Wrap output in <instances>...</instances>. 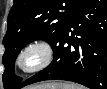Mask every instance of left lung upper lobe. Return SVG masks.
Segmentation results:
<instances>
[{
	"label": "left lung upper lobe",
	"mask_w": 107,
	"mask_h": 89,
	"mask_svg": "<svg viewBox=\"0 0 107 89\" xmlns=\"http://www.w3.org/2000/svg\"><path fill=\"white\" fill-rule=\"evenodd\" d=\"M82 1L14 0L7 19V32L3 39L5 71L2 79L5 89H16L22 81L14 75L15 59L20 50L37 39L45 40L51 45Z\"/></svg>",
	"instance_id": "1"
}]
</instances>
